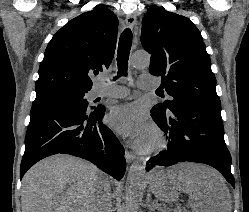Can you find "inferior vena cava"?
Here are the masks:
<instances>
[{"instance_id": "inferior-vena-cava-1", "label": "inferior vena cava", "mask_w": 249, "mask_h": 212, "mask_svg": "<svg viewBox=\"0 0 249 212\" xmlns=\"http://www.w3.org/2000/svg\"><path fill=\"white\" fill-rule=\"evenodd\" d=\"M96 194L97 196H95V200L92 204V212H113L110 184L106 178H104L103 174L99 176Z\"/></svg>"}]
</instances>
